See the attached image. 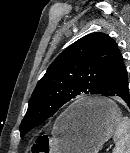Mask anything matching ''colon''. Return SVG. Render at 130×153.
I'll return each instance as SVG.
<instances>
[{
  "label": "colon",
  "mask_w": 130,
  "mask_h": 153,
  "mask_svg": "<svg viewBox=\"0 0 130 153\" xmlns=\"http://www.w3.org/2000/svg\"><path fill=\"white\" fill-rule=\"evenodd\" d=\"M35 153H47L49 150V139L47 136L39 137L32 147Z\"/></svg>",
  "instance_id": "obj_1"
}]
</instances>
